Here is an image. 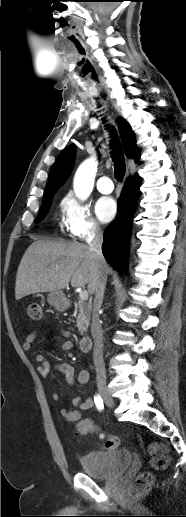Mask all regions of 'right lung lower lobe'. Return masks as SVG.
Listing matches in <instances>:
<instances>
[{"label": "right lung lower lobe", "instance_id": "1", "mask_svg": "<svg viewBox=\"0 0 186 517\" xmlns=\"http://www.w3.org/2000/svg\"><path fill=\"white\" fill-rule=\"evenodd\" d=\"M138 197V179L129 178L118 200L116 219L104 233L103 254L108 263L120 273H125L126 270L127 246Z\"/></svg>", "mask_w": 186, "mask_h": 517}]
</instances>
